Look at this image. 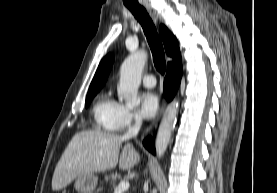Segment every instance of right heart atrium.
Instances as JSON below:
<instances>
[{
  "mask_svg": "<svg viewBox=\"0 0 277 193\" xmlns=\"http://www.w3.org/2000/svg\"><path fill=\"white\" fill-rule=\"evenodd\" d=\"M141 122L140 115L126 107H121L119 114V129L125 130L131 128Z\"/></svg>",
  "mask_w": 277,
  "mask_h": 193,
  "instance_id": "obj_1",
  "label": "right heart atrium"
}]
</instances>
